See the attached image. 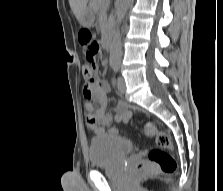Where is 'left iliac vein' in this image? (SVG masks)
<instances>
[{
	"label": "left iliac vein",
	"mask_w": 223,
	"mask_h": 191,
	"mask_svg": "<svg viewBox=\"0 0 223 191\" xmlns=\"http://www.w3.org/2000/svg\"><path fill=\"white\" fill-rule=\"evenodd\" d=\"M117 85H118V92L120 94H124L126 90V86H125V80L123 77H119L117 79Z\"/></svg>",
	"instance_id": "1"
}]
</instances>
